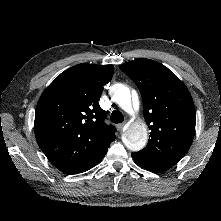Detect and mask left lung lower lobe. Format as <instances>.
Here are the masks:
<instances>
[{
  "mask_svg": "<svg viewBox=\"0 0 221 221\" xmlns=\"http://www.w3.org/2000/svg\"><path fill=\"white\" fill-rule=\"evenodd\" d=\"M131 156L138 165L150 171L163 172L172 167L166 163L140 156L137 153H132Z\"/></svg>",
  "mask_w": 221,
  "mask_h": 221,
  "instance_id": "0a47b994",
  "label": "left lung lower lobe"
}]
</instances>
